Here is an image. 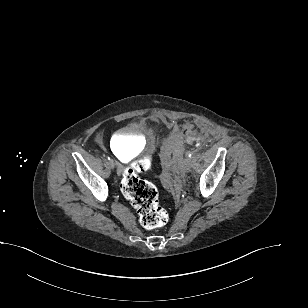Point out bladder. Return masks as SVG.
<instances>
[{
	"mask_svg": "<svg viewBox=\"0 0 308 308\" xmlns=\"http://www.w3.org/2000/svg\"><path fill=\"white\" fill-rule=\"evenodd\" d=\"M110 145L121 161H127L144 148L145 141L139 128L126 127L114 134Z\"/></svg>",
	"mask_w": 308,
	"mask_h": 308,
	"instance_id": "bladder-1",
	"label": "bladder"
}]
</instances>
